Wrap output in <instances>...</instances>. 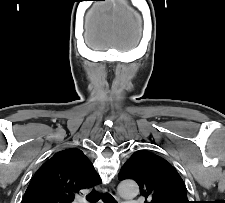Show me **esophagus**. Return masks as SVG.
I'll list each match as a JSON object with an SVG mask.
<instances>
[{
    "label": "esophagus",
    "instance_id": "obj_1",
    "mask_svg": "<svg viewBox=\"0 0 225 203\" xmlns=\"http://www.w3.org/2000/svg\"><path fill=\"white\" fill-rule=\"evenodd\" d=\"M105 192H108V193L112 194L115 197V199L117 200V202L119 203V201H118L119 198H118V196L116 194L115 184L114 183H111V184L107 185L105 187Z\"/></svg>",
    "mask_w": 225,
    "mask_h": 203
}]
</instances>
